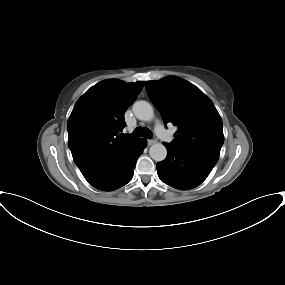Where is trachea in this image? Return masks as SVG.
Masks as SVG:
<instances>
[{
  "label": "trachea",
  "mask_w": 285,
  "mask_h": 285,
  "mask_svg": "<svg viewBox=\"0 0 285 285\" xmlns=\"http://www.w3.org/2000/svg\"><path fill=\"white\" fill-rule=\"evenodd\" d=\"M132 136H134V137H142V136H144L145 138L150 139L152 137V132L148 128L137 127L134 130Z\"/></svg>",
  "instance_id": "obj_1"
}]
</instances>
